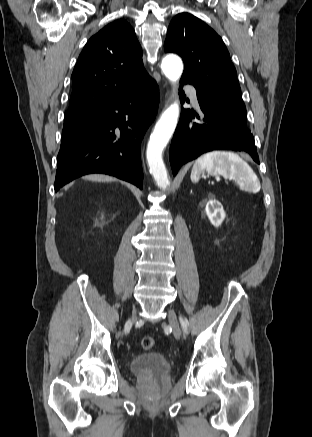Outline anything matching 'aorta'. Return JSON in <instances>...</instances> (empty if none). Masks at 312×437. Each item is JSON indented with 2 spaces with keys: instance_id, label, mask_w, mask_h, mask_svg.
<instances>
[{
  "instance_id": "obj_1",
  "label": "aorta",
  "mask_w": 312,
  "mask_h": 437,
  "mask_svg": "<svg viewBox=\"0 0 312 437\" xmlns=\"http://www.w3.org/2000/svg\"><path fill=\"white\" fill-rule=\"evenodd\" d=\"M161 69L171 82H176L183 72V64L178 56L168 55L162 60ZM178 116L179 106L177 102H174L163 112L148 142L146 156L149 171L161 189H166L169 185L162 152L176 128Z\"/></svg>"
}]
</instances>
